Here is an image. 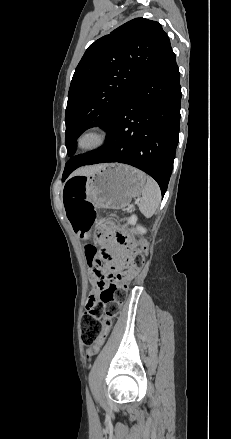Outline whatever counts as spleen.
Segmentation results:
<instances>
[{
  "label": "spleen",
  "instance_id": "1",
  "mask_svg": "<svg viewBox=\"0 0 231 439\" xmlns=\"http://www.w3.org/2000/svg\"><path fill=\"white\" fill-rule=\"evenodd\" d=\"M161 200V190L157 182L151 177H146V185L142 191L139 202V210L146 217L150 218L156 212Z\"/></svg>",
  "mask_w": 231,
  "mask_h": 439
}]
</instances>
